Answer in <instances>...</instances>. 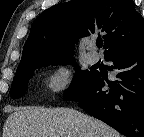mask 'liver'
Returning a JSON list of instances; mask_svg holds the SVG:
<instances>
[{
	"mask_svg": "<svg viewBox=\"0 0 144 137\" xmlns=\"http://www.w3.org/2000/svg\"><path fill=\"white\" fill-rule=\"evenodd\" d=\"M3 137H121L104 122L70 108H15Z\"/></svg>",
	"mask_w": 144,
	"mask_h": 137,
	"instance_id": "6515ba94",
	"label": "liver"
}]
</instances>
